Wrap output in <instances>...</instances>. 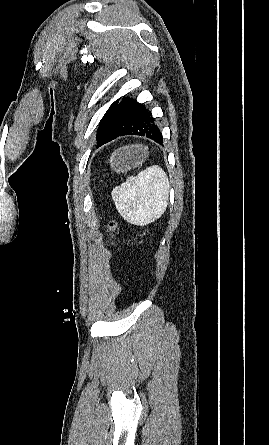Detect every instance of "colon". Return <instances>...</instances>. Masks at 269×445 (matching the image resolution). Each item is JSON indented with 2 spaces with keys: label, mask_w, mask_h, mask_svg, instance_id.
Returning a JSON list of instances; mask_svg holds the SVG:
<instances>
[{
  "label": "colon",
  "mask_w": 269,
  "mask_h": 445,
  "mask_svg": "<svg viewBox=\"0 0 269 445\" xmlns=\"http://www.w3.org/2000/svg\"><path fill=\"white\" fill-rule=\"evenodd\" d=\"M115 230H116V222L113 221V220H110L107 223V232H108L109 238H113L114 237Z\"/></svg>",
  "instance_id": "obj_1"
}]
</instances>
